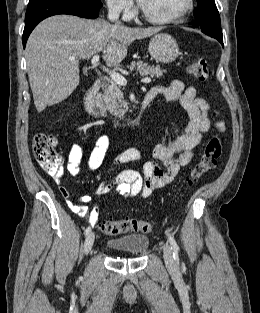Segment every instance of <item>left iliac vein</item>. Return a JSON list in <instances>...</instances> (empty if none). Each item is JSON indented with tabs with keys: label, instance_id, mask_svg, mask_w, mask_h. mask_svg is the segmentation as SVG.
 Masks as SVG:
<instances>
[{
	"label": "left iliac vein",
	"instance_id": "left-iliac-vein-1",
	"mask_svg": "<svg viewBox=\"0 0 260 313\" xmlns=\"http://www.w3.org/2000/svg\"><path fill=\"white\" fill-rule=\"evenodd\" d=\"M163 253H164V260L166 265L170 269H175L177 267L176 261L173 257V250L169 244H165L163 247Z\"/></svg>",
	"mask_w": 260,
	"mask_h": 313
}]
</instances>
